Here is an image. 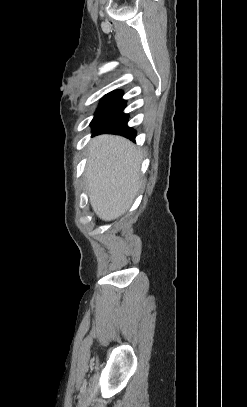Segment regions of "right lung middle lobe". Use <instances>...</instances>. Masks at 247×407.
I'll return each mask as SVG.
<instances>
[{"label": "right lung middle lobe", "instance_id": "dd1d6c3e", "mask_svg": "<svg viewBox=\"0 0 247 407\" xmlns=\"http://www.w3.org/2000/svg\"><path fill=\"white\" fill-rule=\"evenodd\" d=\"M122 95L121 91H113L104 96L91 122L93 130L108 116L125 105L126 101L122 99Z\"/></svg>", "mask_w": 247, "mask_h": 407}]
</instances>
